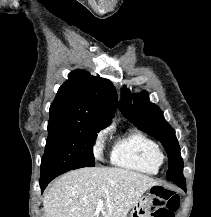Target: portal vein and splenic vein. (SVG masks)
<instances>
[{
    "instance_id": "18ae733b",
    "label": "portal vein and splenic vein",
    "mask_w": 211,
    "mask_h": 217,
    "mask_svg": "<svg viewBox=\"0 0 211 217\" xmlns=\"http://www.w3.org/2000/svg\"><path fill=\"white\" fill-rule=\"evenodd\" d=\"M103 208V200H99L98 201V205H97V211H100Z\"/></svg>"
}]
</instances>
